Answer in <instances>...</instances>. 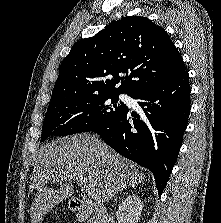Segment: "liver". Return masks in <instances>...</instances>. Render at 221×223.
<instances>
[{
  "instance_id": "liver-1",
  "label": "liver",
  "mask_w": 221,
  "mask_h": 223,
  "mask_svg": "<svg viewBox=\"0 0 221 223\" xmlns=\"http://www.w3.org/2000/svg\"><path fill=\"white\" fill-rule=\"evenodd\" d=\"M57 143L47 144L38 153L30 185L31 192L37 191L30 211L31 223H42L53 206L74 193L73 178L92 187L98 203L109 201L145 178L134 163L96 135L75 134ZM52 180L60 184L58 189L45 187Z\"/></svg>"
}]
</instances>
